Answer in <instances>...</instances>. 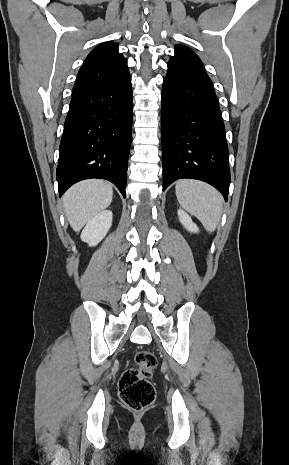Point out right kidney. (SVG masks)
<instances>
[{"instance_id": "right-kidney-1", "label": "right kidney", "mask_w": 289, "mask_h": 465, "mask_svg": "<svg viewBox=\"0 0 289 465\" xmlns=\"http://www.w3.org/2000/svg\"><path fill=\"white\" fill-rule=\"evenodd\" d=\"M112 212L104 210L94 216L81 233V240L89 246H96L107 234L112 225Z\"/></svg>"}]
</instances>
